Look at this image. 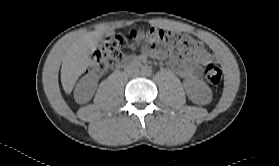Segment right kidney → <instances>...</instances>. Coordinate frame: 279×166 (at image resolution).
<instances>
[{"mask_svg":"<svg viewBox=\"0 0 279 166\" xmlns=\"http://www.w3.org/2000/svg\"><path fill=\"white\" fill-rule=\"evenodd\" d=\"M97 81L91 76L82 78L75 87V98L79 103L87 102L93 96Z\"/></svg>","mask_w":279,"mask_h":166,"instance_id":"right-kidney-1","label":"right kidney"}]
</instances>
